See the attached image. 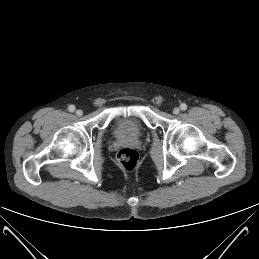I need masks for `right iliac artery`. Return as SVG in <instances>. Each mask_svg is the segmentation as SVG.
<instances>
[{
  "label": "right iliac artery",
  "instance_id": "right-iliac-artery-1",
  "mask_svg": "<svg viewBox=\"0 0 259 259\" xmlns=\"http://www.w3.org/2000/svg\"><path fill=\"white\" fill-rule=\"evenodd\" d=\"M68 110L70 112H74L75 111V106L74 105H69Z\"/></svg>",
  "mask_w": 259,
  "mask_h": 259
}]
</instances>
